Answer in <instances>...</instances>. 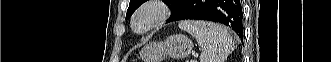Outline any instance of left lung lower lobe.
Instances as JSON below:
<instances>
[{"label":"left lung lower lobe","mask_w":331,"mask_h":62,"mask_svg":"<svg viewBox=\"0 0 331 62\" xmlns=\"http://www.w3.org/2000/svg\"><path fill=\"white\" fill-rule=\"evenodd\" d=\"M208 20L231 27L243 42V11L240 0H186L168 22Z\"/></svg>","instance_id":"1"}]
</instances>
